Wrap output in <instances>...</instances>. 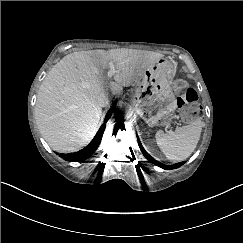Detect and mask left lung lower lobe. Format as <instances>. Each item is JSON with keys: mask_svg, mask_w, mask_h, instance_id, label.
Returning a JSON list of instances; mask_svg holds the SVG:
<instances>
[{"mask_svg": "<svg viewBox=\"0 0 243 243\" xmlns=\"http://www.w3.org/2000/svg\"><path fill=\"white\" fill-rule=\"evenodd\" d=\"M137 140H138V144H139V147H140V149H141L143 155H144V156H145L151 163H153V164H155V165H157V166H159V167H161V168H163V169H176V168L182 166V165L185 163V162L183 161V162H180V163H177V164H174V165H170V166L165 165V164H162V163H160L159 161H156L154 158H152V157L145 151V149H144L143 146L141 145V142H140V140H139L138 137H137Z\"/></svg>", "mask_w": 243, "mask_h": 243, "instance_id": "1", "label": "left lung lower lobe"}]
</instances>
